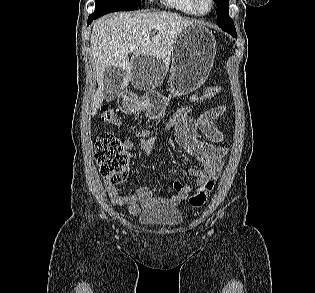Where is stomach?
Segmentation results:
<instances>
[{"label": "stomach", "instance_id": "1", "mask_svg": "<svg viewBox=\"0 0 315 293\" xmlns=\"http://www.w3.org/2000/svg\"><path fill=\"white\" fill-rule=\"evenodd\" d=\"M216 54V40L211 31L200 24L185 27L172 49V70L168 80L170 96L189 94L206 81ZM166 97L158 93L120 92L119 110L127 113L146 110L151 119L160 117L168 106Z\"/></svg>", "mask_w": 315, "mask_h": 293}]
</instances>
